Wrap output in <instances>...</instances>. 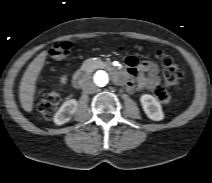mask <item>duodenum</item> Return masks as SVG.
Returning a JSON list of instances; mask_svg holds the SVG:
<instances>
[{"mask_svg":"<svg viewBox=\"0 0 212 183\" xmlns=\"http://www.w3.org/2000/svg\"><path fill=\"white\" fill-rule=\"evenodd\" d=\"M90 69L88 66H83L81 69H79L75 75H74V85L77 88H80L84 85L87 77L89 76ZM120 76V71L116 73V78Z\"/></svg>","mask_w":212,"mask_h":183,"instance_id":"410a0bca","label":"duodenum"}]
</instances>
